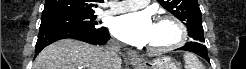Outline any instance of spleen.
I'll list each match as a JSON object with an SVG mask.
<instances>
[{"label": "spleen", "instance_id": "spleen-1", "mask_svg": "<svg viewBox=\"0 0 246 69\" xmlns=\"http://www.w3.org/2000/svg\"><path fill=\"white\" fill-rule=\"evenodd\" d=\"M185 69H205L204 65L193 53L184 54Z\"/></svg>", "mask_w": 246, "mask_h": 69}]
</instances>
